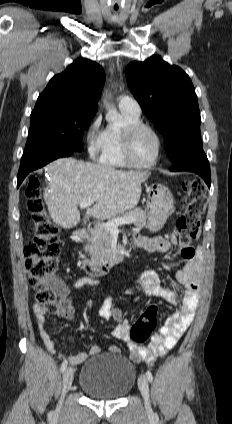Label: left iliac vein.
<instances>
[{"instance_id": "4c4485c4", "label": "left iliac vein", "mask_w": 232, "mask_h": 424, "mask_svg": "<svg viewBox=\"0 0 232 424\" xmlns=\"http://www.w3.org/2000/svg\"><path fill=\"white\" fill-rule=\"evenodd\" d=\"M138 385L140 392L144 399V404L147 412H151V404H150V397H149V385L148 380L144 375H141L138 380Z\"/></svg>"}]
</instances>
